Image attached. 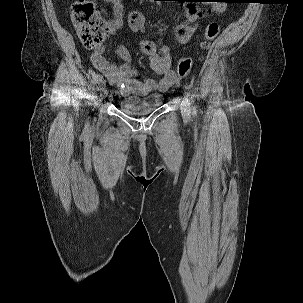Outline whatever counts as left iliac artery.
I'll list each match as a JSON object with an SVG mask.
<instances>
[{
  "instance_id": "left-iliac-artery-1",
  "label": "left iliac artery",
  "mask_w": 303,
  "mask_h": 303,
  "mask_svg": "<svg viewBox=\"0 0 303 303\" xmlns=\"http://www.w3.org/2000/svg\"><path fill=\"white\" fill-rule=\"evenodd\" d=\"M193 114H194V115L196 114V109H195V108L193 109Z\"/></svg>"
}]
</instances>
